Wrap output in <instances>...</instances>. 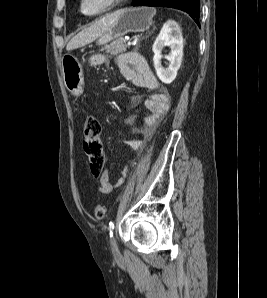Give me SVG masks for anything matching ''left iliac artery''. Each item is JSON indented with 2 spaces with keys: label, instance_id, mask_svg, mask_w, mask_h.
Returning a JSON list of instances; mask_svg holds the SVG:
<instances>
[{
  "label": "left iliac artery",
  "instance_id": "44dca946",
  "mask_svg": "<svg viewBox=\"0 0 267 298\" xmlns=\"http://www.w3.org/2000/svg\"><path fill=\"white\" fill-rule=\"evenodd\" d=\"M113 229H114V223L113 221H110L109 227H108V230L110 231V237L113 236Z\"/></svg>",
  "mask_w": 267,
  "mask_h": 298
}]
</instances>
